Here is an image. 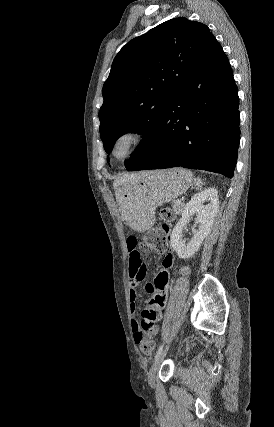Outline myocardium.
Masks as SVG:
<instances>
[{
    "label": "myocardium",
    "instance_id": "obj_1",
    "mask_svg": "<svg viewBox=\"0 0 274 427\" xmlns=\"http://www.w3.org/2000/svg\"><path fill=\"white\" fill-rule=\"evenodd\" d=\"M121 139H128L129 148H128V151L124 157L117 158L115 156L114 151H115V147H116L117 143ZM144 139H145V135L140 129L134 128V127L125 128V129L119 131L112 138L110 145H109V156L112 158L113 161H115L117 163L127 162L137 153V151L139 150V148L143 144Z\"/></svg>",
    "mask_w": 274,
    "mask_h": 427
}]
</instances>
